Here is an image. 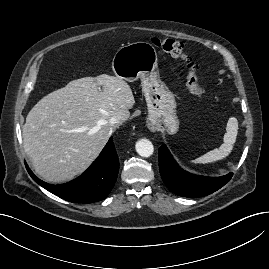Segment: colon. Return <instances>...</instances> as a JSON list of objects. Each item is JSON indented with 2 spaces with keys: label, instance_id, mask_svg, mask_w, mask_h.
I'll return each instance as SVG.
<instances>
[{
  "label": "colon",
  "instance_id": "obj_1",
  "mask_svg": "<svg viewBox=\"0 0 269 269\" xmlns=\"http://www.w3.org/2000/svg\"><path fill=\"white\" fill-rule=\"evenodd\" d=\"M151 41L156 48L182 61V69L186 77V85L189 92L197 99L203 101L206 96L197 77L198 63L189 54L185 45L180 41L169 38H153Z\"/></svg>",
  "mask_w": 269,
  "mask_h": 269
}]
</instances>
